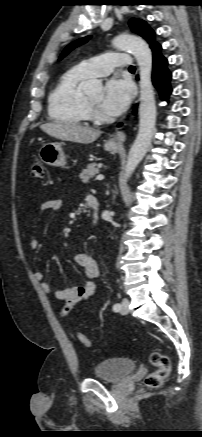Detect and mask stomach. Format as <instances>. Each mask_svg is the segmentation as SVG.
Listing matches in <instances>:
<instances>
[{
	"mask_svg": "<svg viewBox=\"0 0 202 437\" xmlns=\"http://www.w3.org/2000/svg\"><path fill=\"white\" fill-rule=\"evenodd\" d=\"M104 149L116 153L119 150V145L112 140H108L104 144ZM39 157L42 162L50 166L64 167L66 165V156L60 143L44 144L39 151Z\"/></svg>",
	"mask_w": 202,
	"mask_h": 437,
	"instance_id": "obj_1",
	"label": "stomach"
}]
</instances>
